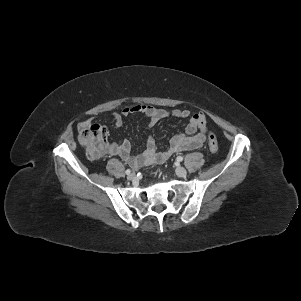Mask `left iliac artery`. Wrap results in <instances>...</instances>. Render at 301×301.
<instances>
[{
    "instance_id": "obj_1",
    "label": "left iliac artery",
    "mask_w": 301,
    "mask_h": 301,
    "mask_svg": "<svg viewBox=\"0 0 301 301\" xmlns=\"http://www.w3.org/2000/svg\"><path fill=\"white\" fill-rule=\"evenodd\" d=\"M177 161H178V162L183 161V157H182V156H178V157H177Z\"/></svg>"
}]
</instances>
